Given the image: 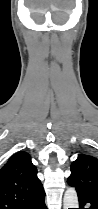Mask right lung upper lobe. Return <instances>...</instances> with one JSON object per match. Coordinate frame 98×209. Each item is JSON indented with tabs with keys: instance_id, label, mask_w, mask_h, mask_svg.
<instances>
[{
	"instance_id": "right-lung-upper-lobe-1",
	"label": "right lung upper lobe",
	"mask_w": 98,
	"mask_h": 209,
	"mask_svg": "<svg viewBox=\"0 0 98 209\" xmlns=\"http://www.w3.org/2000/svg\"><path fill=\"white\" fill-rule=\"evenodd\" d=\"M43 190L30 155L19 151L0 169V209H18Z\"/></svg>"
}]
</instances>
